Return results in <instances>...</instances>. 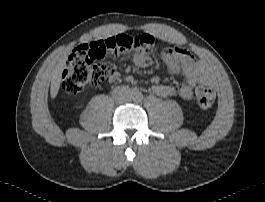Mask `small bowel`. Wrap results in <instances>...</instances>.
Here are the masks:
<instances>
[{
  "label": "small bowel",
  "instance_id": "1",
  "mask_svg": "<svg viewBox=\"0 0 265 202\" xmlns=\"http://www.w3.org/2000/svg\"><path fill=\"white\" fill-rule=\"evenodd\" d=\"M147 35L153 38L150 34ZM91 45L92 43L81 44L74 50V55H90L94 57H102L104 55L94 50ZM162 59L171 73H180L183 75L184 83L179 88H176L172 85L158 84L157 79H154L153 91L158 96L172 97L178 95L184 100H191L197 84L206 83L210 80L205 66L187 54L179 46L164 49ZM133 61L140 67L151 65V58L144 51L136 52ZM125 80L129 83L134 82V78L131 75H128ZM117 82L118 78L111 81V83Z\"/></svg>",
  "mask_w": 265,
  "mask_h": 202
}]
</instances>
